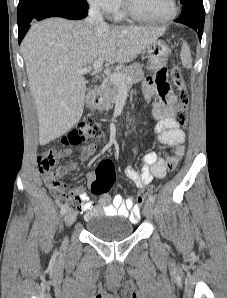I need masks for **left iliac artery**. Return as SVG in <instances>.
I'll return each mask as SVG.
<instances>
[{"label":"left iliac artery","instance_id":"44dca946","mask_svg":"<svg viewBox=\"0 0 227 298\" xmlns=\"http://www.w3.org/2000/svg\"><path fill=\"white\" fill-rule=\"evenodd\" d=\"M149 201H150V202H152V203H153V202H155V197H154V196H152V195H151V196H149Z\"/></svg>","mask_w":227,"mask_h":298}]
</instances>
